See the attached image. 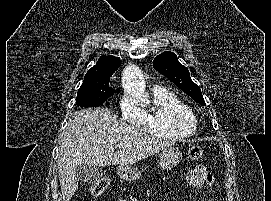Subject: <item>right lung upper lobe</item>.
Here are the masks:
<instances>
[{
  "label": "right lung upper lobe",
  "mask_w": 271,
  "mask_h": 201,
  "mask_svg": "<svg viewBox=\"0 0 271 201\" xmlns=\"http://www.w3.org/2000/svg\"><path fill=\"white\" fill-rule=\"evenodd\" d=\"M121 61L114 56H101L97 64L88 70L84 78L112 75L120 66Z\"/></svg>",
  "instance_id": "1"
}]
</instances>
